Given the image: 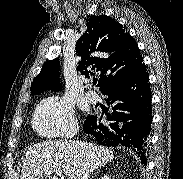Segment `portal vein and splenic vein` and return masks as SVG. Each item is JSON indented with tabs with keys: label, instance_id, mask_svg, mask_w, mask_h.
<instances>
[{
	"label": "portal vein and splenic vein",
	"instance_id": "1",
	"mask_svg": "<svg viewBox=\"0 0 183 179\" xmlns=\"http://www.w3.org/2000/svg\"><path fill=\"white\" fill-rule=\"evenodd\" d=\"M52 173H56L58 176H62V171L61 170H58V169H54V170H50V171H46L45 172V175H51Z\"/></svg>",
	"mask_w": 183,
	"mask_h": 179
}]
</instances>
